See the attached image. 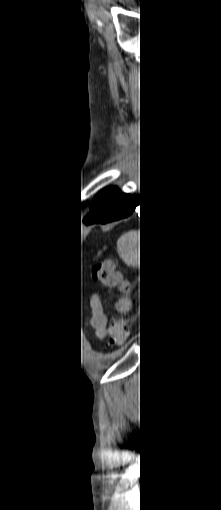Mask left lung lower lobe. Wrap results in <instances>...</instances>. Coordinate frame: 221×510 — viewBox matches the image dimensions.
<instances>
[{
	"instance_id": "obj_1",
	"label": "left lung lower lobe",
	"mask_w": 221,
	"mask_h": 510,
	"mask_svg": "<svg viewBox=\"0 0 221 510\" xmlns=\"http://www.w3.org/2000/svg\"><path fill=\"white\" fill-rule=\"evenodd\" d=\"M141 204L143 205L142 195L138 197L134 193L120 192L107 206L97 209L96 211H90L85 216L84 222L88 224H105L117 221L133 214L136 208Z\"/></svg>"
}]
</instances>
